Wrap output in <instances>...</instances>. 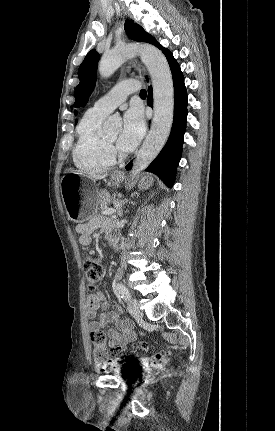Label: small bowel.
I'll return each mask as SVG.
<instances>
[{
  "mask_svg": "<svg viewBox=\"0 0 275 431\" xmlns=\"http://www.w3.org/2000/svg\"><path fill=\"white\" fill-rule=\"evenodd\" d=\"M98 227H103L106 235L111 239L110 227L103 224L100 219L96 218L87 223L79 224L76 227V231L79 234V242L84 246L89 245L91 243V234ZM99 310H102V313L100 314L99 319L96 320L95 317ZM87 316L91 319L88 325L90 331L100 330L110 324L114 326V328L107 329L109 345L112 348L126 346L136 338L132 323L120 318L119 309H110L106 298L102 293L91 294L88 296Z\"/></svg>",
  "mask_w": 275,
  "mask_h": 431,
  "instance_id": "c3829d8e",
  "label": "small bowel"
}]
</instances>
